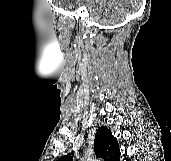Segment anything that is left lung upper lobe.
I'll use <instances>...</instances> for the list:
<instances>
[{"mask_svg": "<svg viewBox=\"0 0 171 161\" xmlns=\"http://www.w3.org/2000/svg\"><path fill=\"white\" fill-rule=\"evenodd\" d=\"M95 154L104 161H120V149L117 139L106 127H99L95 134L94 141ZM57 161H72L71 156H64Z\"/></svg>", "mask_w": 171, "mask_h": 161, "instance_id": "obj_1", "label": "left lung upper lobe"}]
</instances>
